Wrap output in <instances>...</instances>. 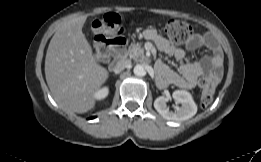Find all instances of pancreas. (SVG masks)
<instances>
[{"label":"pancreas","instance_id":"obj_1","mask_svg":"<svg viewBox=\"0 0 261 162\" xmlns=\"http://www.w3.org/2000/svg\"><path fill=\"white\" fill-rule=\"evenodd\" d=\"M144 53V50L140 43H132L128 49L125 51L123 57L127 58H137L139 56H142Z\"/></svg>","mask_w":261,"mask_h":162}]
</instances>
